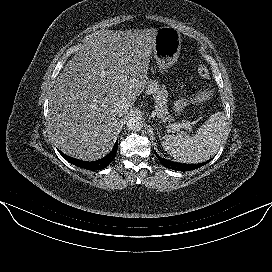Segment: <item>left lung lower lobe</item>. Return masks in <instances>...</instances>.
I'll use <instances>...</instances> for the list:
<instances>
[{"instance_id":"left-lung-lower-lobe-1","label":"left lung lower lobe","mask_w":272,"mask_h":272,"mask_svg":"<svg viewBox=\"0 0 272 272\" xmlns=\"http://www.w3.org/2000/svg\"><path fill=\"white\" fill-rule=\"evenodd\" d=\"M158 160L168 169H172V170H177V171H190V170H194L197 169L199 167H201L202 165H205L207 162L204 163H200V164H181V163H176V162H171L169 160H166L164 158H161L156 152H155Z\"/></svg>"}]
</instances>
